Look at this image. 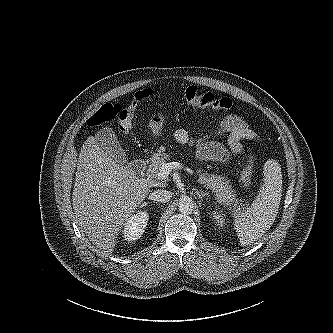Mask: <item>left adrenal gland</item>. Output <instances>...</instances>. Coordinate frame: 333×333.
Here are the masks:
<instances>
[{
	"instance_id": "a2214340",
	"label": "left adrenal gland",
	"mask_w": 333,
	"mask_h": 333,
	"mask_svg": "<svg viewBox=\"0 0 333 333\" xmlns=\"http://www.w3.org/2000/svg\"><path fill=\"white\" fill-rule=\"evenodd\" d=\"M195 193L196 195L201 199L203 200V198L206 196V197H209V193L206 192V191H203V190H195Z\"/></svg>"
}]
</instances>
